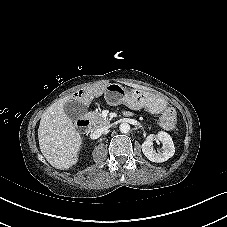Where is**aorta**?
<instances>
[{
	"mask_svg": "<svg viewBox=\"0 0 227 227\" xmlns=\"http://www.w3.org/2000/svg\"><path fill=\"white\" fill-rule=\"evenodd\" d=\"M119 129L121 133H128L130 131V125L128 123H121Z\"/></svg>",
	"mask_w": 227,
	"mask_h": 227,
	"instance_id": "aorta-1",
	"label": "aorta"
}]
</instances>
